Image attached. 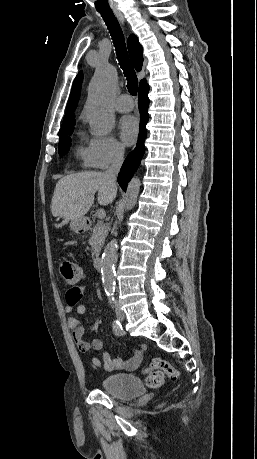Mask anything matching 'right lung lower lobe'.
I'll list each match as a JSON object with an SVG mask.
<instances>
[{"label": "right lung lower lobe", "instance_id": "right-lung-lower-lobe-1", "mask_svg": "<svg viewBox=\"0 0 257 459\" xmlns=\"http://www.w3.org/2000/svg\"><path fill=\"white\" fill-rule=\"evenodd\" d=\"M149 86L147 82L140 83L139 85V99L138 107L141 116L140 131L138 143L135 149L127 156L122 168L118 174V183L123 191L126 192L128 182L132 178L134 172L138 168L140 161L145 152L144 140L147 134L146 124L148 122V99Z\"/></svg>", "mask_w": 257, "mask_h": 459}]
</instances>
